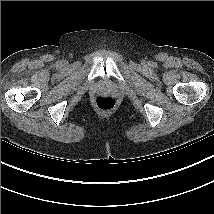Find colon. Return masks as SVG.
<instances>
[{
  "label": "colon",
  "instance_id": "5ec220e1",
  "mask_svg": "<svg viewBox=\"0 0 214 214\" xmlns=\"http://www.w3.org/2000/svg\"><path fill=\"white\" fill-rule=\"evenodd\" d=\"M95 104L99 110L107 112L116 106V101L110 96H99L96 98Z\"/></svg>",
  "mask_w": 214,
  "mask_h": 214
}]
</instances>
